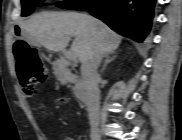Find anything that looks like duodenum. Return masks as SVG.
Listing matches in <instances>:
<instances>
[{
  "mask_svg": "<svg viewBox=\"0 0 182 140\" xmlns=\"http://www.w3.org/2000/svg\"><path fill=\"white\" fill-rule=\"evenodd\" d=\"M75 96L76 99L82 103H86L88 101V94L82 84L76 86Z\"/></svg>",
  "mask_w": 182,
  "mask_h": 140,
  "instance_id": "410a0bca",
  "label": "duodenum"
}]
</instances>
